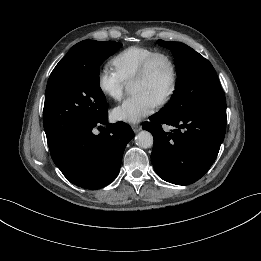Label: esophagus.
<instances>
[{"label": "esophagus", "mask_w": 261, "mask_h": 261, "mask_svg": "<svg viewBox=\"0 0 261 261\" xmlns=\"http://www.w3.org/2000/svg\"><path fill=\"white\" fill-rule=\"evenodd\" d=\"M132 129L135 133L139 132L140 130H142V126L138 125V124H133L132 125Z\"/></svg>", "instance_id": "obj_1"}]
</instances>
